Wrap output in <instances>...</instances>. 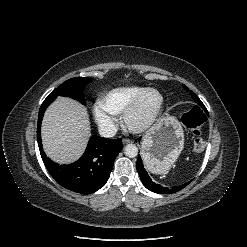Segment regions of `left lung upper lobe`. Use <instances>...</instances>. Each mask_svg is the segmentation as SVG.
Here are the masks:
<instances>
[{
    "mask_svg": "<svg viewBox=\"0 0 247 247\" xmlns=\"http://www.w3.org/2000/svg\"><path fill=\"white\" fill-rule=\"evenodd\" d=\"M191 96H192V98L195 100V102H196L200 107H202L204 110L206 109L205 106L203 105V103L200 101V99L198 98V96H197L195 93L191 92Z\"/></svg>",
    "mask_w": 247,
    "mask_h": 247,
    "instance_id": "left-lung-upper-lobe-1",
    "label": "left lung upper lobe"
}]
</instances>
